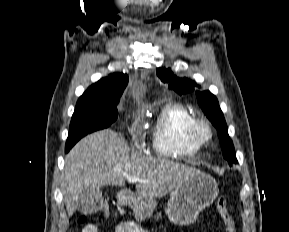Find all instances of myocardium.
<instances>
[{
    "label": "myocardium",
    "mask_w": 289,
    "mask_h": 232,
    "mask_svg": "<svg viewBox=\"0 0 289 232\" xmlns=\"http://www.w3.org/2000/svg\"><path fill=\"white\" fill-rule=\"evenodd\" d=\"M188 136L197 144L202 146L207 143L213 135L211 125L203 118L194 117L187 128Z\"/></svg>",
    "instance_id": "myocardium-1"
}]
</instances>
